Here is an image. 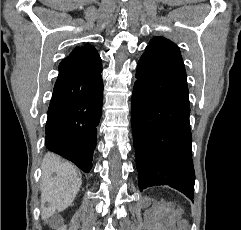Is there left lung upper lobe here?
<instances>
[{
  "instance_id": "1",
  "label": "left lung upper lobe",
  "mask_w": 241,
  "mask_h": 230,
  "mask_svg": "<svg viewBox=\"0 0 241 230\" xmlns=\"http://www.w3.org/2000/svg\"><path fill=\"white\" fill-rule=\"evenodd\" d=\"M144 55L155 58L165 64L185 71L179 48L164 37H154L146 47Z\"/></svg>"
}]
</instances>
